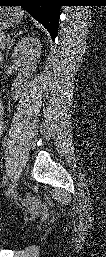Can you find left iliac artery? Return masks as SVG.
Segmentation results:
<instances>
[{
    "label": "left iliac artery",
    "mask_w": 106,
    "mask_h": 257,
    "mask_svg": "<svg viewBox=\"0 0 106 257\" xmlns=\"http://www.w3.org/2000/svg\"><path fill=\"white\" fill-rule=\"evenodd\" d=\"M7 181H8V178H7V176L5 175L4 178H3V184L5 185V184L7 183Z\"/></svg>",
    "instance_id": "obj_1"
}]
</instances>
